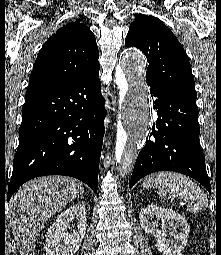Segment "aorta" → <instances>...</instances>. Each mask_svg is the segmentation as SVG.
I'll list each match as a JSON object with an SVG mask.
<instances>
[{"label": "aorta", "instance_id": "obj_1", "mask_svg": "<svg viewBox=\"0 0 221 255\" xmlns=\"http://www.w3.org/2000/svg\"><path fill=\"white\" fill-rule=\"evenodd\" d=\"M146 59L136 50H127L116 72L122 103L123 135L116 143L115 158L121 173L127 174L135 162L151 125V105L145 81Z\"/></svg>", "mask_w": 221, "mask_h": 255}]
</instances>
